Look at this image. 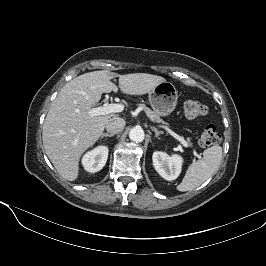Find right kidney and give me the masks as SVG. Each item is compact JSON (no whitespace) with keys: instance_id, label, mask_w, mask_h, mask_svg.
I'll list each match as a JSON object with an SVG mask.
<instances>
[{"instance_id":"ca27d5eb","label":"right kidney","mask_w":266,"mask_h":266,"mask_svg":"<svg viewBox=\"0 0 266 266\" xmlns=\"http://www.w3.org/2000/svg\"><path fill=\"white\" fill-rule=\"evenodd\" d=\"M107 158L108 148L106 146H98L84 155L82 164L86 171L94 173L105 166Z\"/></svg>"}]
</instances>
